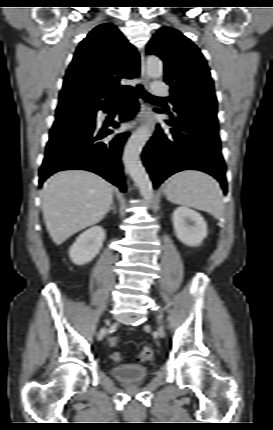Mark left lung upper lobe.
Here are the masks:
<instances>
[{
  "mask_svg": "<svg viewBox=\"0 0 273 430\" xmlns=\"http://www.w3.org/2000/svg\"><path fill=\"white\" fill-rule=\"evenodd\" d=\"M146 52L164 61L165 82L170 85L169 99L178 115L188 119H217L213 81L196 45L180 31L162 27L147 44Z\"/></svg>",
  "mask_w": 273,
  "mask_h": 430,
  "instance_id": "5c2ea615",
  "label": "left lung upper lobe"
}]
</instances>
